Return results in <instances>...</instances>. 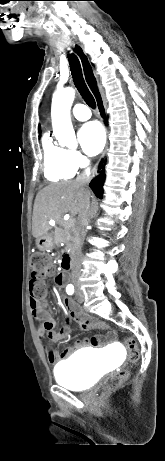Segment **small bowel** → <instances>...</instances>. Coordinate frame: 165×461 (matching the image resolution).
Masks as SVG:
<instances>
[{
  "label": "small bowel",
  "mask_w": 165,
  "mask_h": 461,
  "mask_svg": "<svg viewBox=\"0 0 165 461\" xmlns=\"http://www.w3.org/2000/svg\"><path fill=\"white\" fill-rule=\"evenodd\" d=\"M64 272L56 271L55 284L56 288L59 289L60 293L64 292ZM63 305L69 310L66 323L55 331L56 321L53 315V310L49 306H41L32 296L30 297V311L35 320L40 321L41 325L38 329L37 335L40 340L48 336L52 342H58L65 339L70 333V321L75 319L82 329L96 328L99 330H108L107 339L112 340L115 337L114 332L110 331L108 326L103 323L94 324L89 320L85 319L82 314L72 307L71 302L68 299L63 300ZM101 343L100 338L93 337L92 339L84 338L77 340L72 347L63 350L61 353H56L49 345H44V351L52 364H56L62 359L69 357L74 351L87 347L89 345L97 346Z\"/></svg>",
  "instance_id": "1"
}]
</instances>
